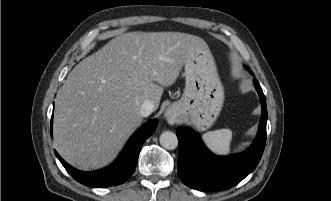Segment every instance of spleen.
Segmentation results:
<instances>
[{
	"instance_id": "1",
	"label": "spleen",
	"mask_w": 331,
	"mask_h": 201,
	"mask_svg": "<svg viewBox=\"0 0 331 201\" xmlns=\"http://www.w3.org/2000/svg\"><path fill=\"white\" fill-rule=\"evenodd\" d=\"M232 131L230 129H219L206 132L202 139L205 145L217 155H228L232 141Z\"/></svg>"
}]
</instances>
